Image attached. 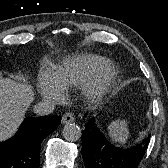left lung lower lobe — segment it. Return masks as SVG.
<instances>
[{
	"instance_id": "left-lung-lower-lobe-1",
	"label": "left lung lower lobe",
	"mask_w": 168,
	"mask_h": 168,
	"mask_svg": "<svg viewBox=\"0 0 168 168\" xmlns=\"http://www.w3.org/2000/svg\"><path fill=\"white\" fill-rule=\"evenodd\" d=\"M150 136L131 148L112 145L97 128L94 118L82 131V156L86 168H138L150 142Z\"/></svg>"
}]
</instances>
